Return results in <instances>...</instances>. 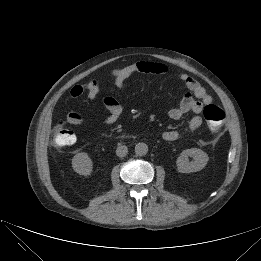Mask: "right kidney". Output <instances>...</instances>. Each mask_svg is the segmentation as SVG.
I'll return each mask as SVG.
<instances>
[{
	"mask_svg": "<svg viewBox=\"0 0 261 261\" xmlns=\"http://www.w3.org/2000/svg\"><path fill=\"white\" fill-rule=\"evenodd\" d=\"M72 167L80 175H90L93 169V163L87 153H77L72 159Z\"/></svg>",
	"mask_w": 261,
	"mask_h": 261,
	"instance_id": "right-kidney-1",
	"label": "right kidney"
}]
</instances>
